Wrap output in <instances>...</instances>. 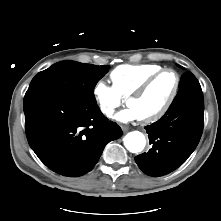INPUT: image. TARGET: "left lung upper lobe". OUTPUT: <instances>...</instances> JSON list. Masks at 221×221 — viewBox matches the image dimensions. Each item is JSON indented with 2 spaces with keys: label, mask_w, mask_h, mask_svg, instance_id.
I'll list each match as a JSON object with an SVG mask.
<instances>
[{
  "label": "left lung upper lobe",
  "mask_w": 221,
  "mask_h": 221,
  "mask_svg": "<svg viewBox=\"0 0 221 221\" xmlns=\"http://www.w3.org/2000/svg\"><path fill=\"white\" fill-rule=\"evenodd\" d=\"M198 82L197 79L192 75V74H185L183 77H182V82H181V86H180V91L179 93L177 94V96L175 97L174 100H176L181 94H182V91L186 89L187 87V82Z\"/></svg>",
  "instance_id": "obj_1"
}]
</instances>
